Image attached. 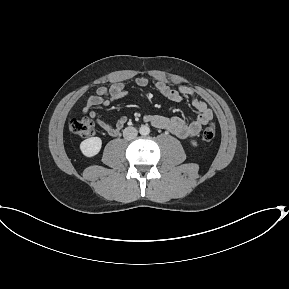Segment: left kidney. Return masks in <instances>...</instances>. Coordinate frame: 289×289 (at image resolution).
<instances>
[{
  "label": "left kidney",
  "instance_id": "5707ae66",
  "mask_svg": "<svg viewBox=\"0 0 289 289\" xmlns=\"http://www.w3.org/2000/svg\"><path fill=\"white\" fill-rule=\"evenodd\" d=\"M191 144H192V146H194V147H197V145H198L195 140H191Z\"/></svg>",
  "mask_w": 289,
  "mask_h": 289
}]
</instances>
